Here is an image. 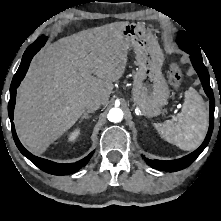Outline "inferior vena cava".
<instances>
[{
  "label": "inferior vena cava",
  "mask_w": 221,
  "mask_h": 221,
  "mask_svg": "<svg viewBox=\"0 0 221 221\" xmlns=\"http://www.w3.org/2000/svg\"><path fill=\"white\" fill-rule=\"evenodd\" d=\"M101 105H102V101L96 97L88 99L85 103V107L91 111L98 110Z\"/></svg>",
  "instance_id": "602c4592"
}]
</instances>
